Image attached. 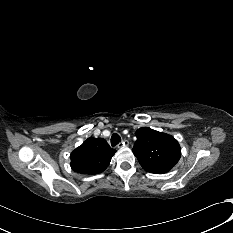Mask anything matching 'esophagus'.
<instances>
[{"instance_id": "34e87169", "label": "esophagus", "mask_w": 233, "mask_h": 233, "mask_svg": "<svg viewBox=\"0 0 233 233\" xmlns=\"http://www.w3.org/2000/svg\"><path fill=\"white\" fill-rule=\"evenodd\" d=\"M128 145H129L128 140H124V141H122L121 143H119V144L117 145V148H118V149H122V148H124V147H127Z\"/></svg>"}]
</instances>
